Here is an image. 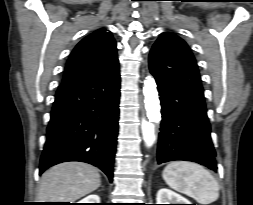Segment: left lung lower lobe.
I'll return each instance as SVG.
<instances>
[{
  "mask_svg": "<svg viewBox=\"0 0 253 205\" xmlns=\"http://www.w3.org/2000/svg\"><path fill=\"white\" fill-rule=\"evenodd\" d=\"M161 101L158 164L185 160L216 170L215 150L196 60L188 45L163 33L149 55Z\"/></svg>",
  "mask_w": 253,
  "mask_h": 205,
  "instance_id": "0a47b994",
  "label": "left lung lower lobe"
}]
</instances>
